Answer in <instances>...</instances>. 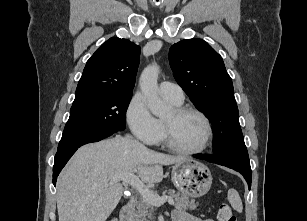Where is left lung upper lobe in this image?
Here are the masks:
<instances>
[{"instance_id": "obj_1", "label": "left lung upper lobe", "mask_w": 307, "mask_h": 221, "mask_svg": "<svg viewBox=\"0 0 307 221\" xmlns=\"http://www.w3.org/2000/svg\"><path fill=\"white\" fill-rule=\"evenodd\" d=\"M169 62L177 83L214 127V155L248 162L232 80L221 56L202 39H186L171 46Z\"/></svg>"}]
</instances>
